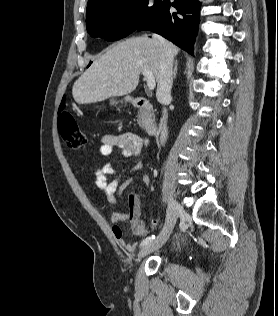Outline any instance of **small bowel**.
<instances>
[{
	"instance_id": "obj_1",
	"label": "small bowel",
	"mask_w": 278,
	"mask_h": 316,
	"mask_svg": "<svg viewBox=\"0 0 278 316\" xmlns=\"http://www.w3.org/2000/svg\"><path fill=\"white\" fill-rule=\"evenodd\" d=\"M147 145L148 140L133 133L120 135L107 134L101 138L99 152L102 156H110L113 153H117L126 158H137L140 156L143 147ZM144 170L145 166L142 162H137L131 169L134 173ZM114 175L115 172L110 162H106L95 168L96 185L104 192L108 202L113 206H116L118 203L116 192L126 187L134 179H139L147 186L150 184V177L145 173L127 178ZM124 221L130 222L132 233L136 236H146L149 233L147 226L141 219V201L138 196L133 195L129 198L128 212L114 211L110 215L112 233L117 243L123 246L128 252H133L136 249V244L126 242L124 232L119 226V223ZM157 223V219L150 221L151 225H157Z\"/></svg>"
}]
</instances>
